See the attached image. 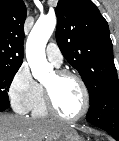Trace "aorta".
I'll list each match as a JSON object with an SVG mask.
<instances>
[{"label":"aorta","instance_id":"762f6f07","mask_svg":"<svg viewBox=\"0 0 119 141\" xmlns=\"http://www.w3.org/2000/svg\"><path fill=\"white\" fill-rule=\"evenodd\" d=\"M56 27V17L47 15L38 19L26 43V57L35 79L42 81L53 70L45 55L46 44Z\"/></svg>","mask_w":119,"mask_h":141}]
</instances>
